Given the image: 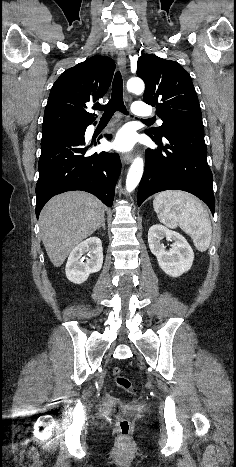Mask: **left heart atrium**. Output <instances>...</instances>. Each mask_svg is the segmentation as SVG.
<instances>
[{"label": "left heart atrium", "mask_w": 236, "mask_h": 467, "mask_svg": "<svg viewBox=\"0 0 236 467\" xmlns=\"http://www.w3.org/2000/svg\"><path fill=\"white\" fill-rule=\"evenodd\" d=\"M134 145L135 135L128 127L120 129L113 141V147L119 151H129L134 147Z\"/></svg>", "instance_id": "left-heart-atrium-1"}]
</instances>
